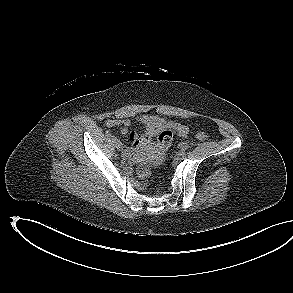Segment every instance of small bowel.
I'll list each match as a JSON object with an SVG mask.
<instances>
[{"mask_svg": "<svg viewBox=\"0 0 293 293\" xmlns=\"http://www.w3.org/2000/svg\"><path fill=\"white\" fill-rule=\"evenodd\" d=\"M139 121L144 126V134L138 135L136 132L128 131V127L131 123L129 119L119 118V119H109L106 121V126H122V133L124 135H129L130 141L135 147H140L150 141L151 138L157 136L163 130H171L175 132L180 137H186L189 134V129L187 126L176 122L167 120L163 117L157 115H142L139 118Z\"/></svg>", "mask_w": 293, "mask_h": 293, "instance_id": "obj_1", "label": "small bowel"}]
</instances>
